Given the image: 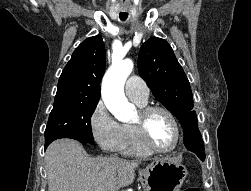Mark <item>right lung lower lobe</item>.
Masks as SVG:
<instances>
[{
  "mask_svg": "<svg viewBox=\"0 0 251 191\" xmlns=\"http://www.w3.org/2000/svg\"><path fill=\"white\" fill-rule=\"evenodd\" d=\"M77 140V139H76ZM78 141H80L81 143H83V144H90V143H88V142H85V141H82V140H78ZM48 146V145H47ZM47 146L45 145V149L47 148Z\"/></svg>",
  "mask_w": 251,
  "mask_h": 191,
  "instance_id": "1",
  "label": "right lung lower lobe"
}]
</instances>
